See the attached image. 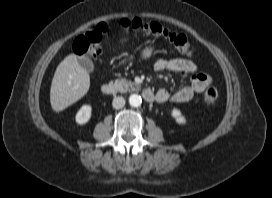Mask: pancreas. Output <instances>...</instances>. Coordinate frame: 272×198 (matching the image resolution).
I'll use <instances>...</instances> for the list:
<instances>
[{
  "instance_id": "pancreas-1",
  "label": "pancreas",
  "mask_w": 272,
  "mask_h": 198,
  "mask_svg": "<svg viewBox=\"0 0 272 198\" xmlns=\"http://www.w3.org/2000/svg\"><path fill=\"white\" fill-rule=\"evenodd\" d=\"M114 85L118 89V91H120L122 93L126 92V91H134V90L140 89L139 84L134 83L132 81H128L125 78L115 80Z\"/></svg>"
}]
</instances>
